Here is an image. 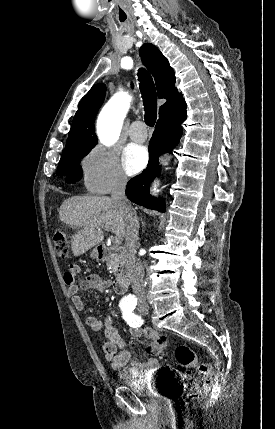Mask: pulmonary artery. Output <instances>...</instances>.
<instances>
[{
    "mask_svg": "<svg viewBox=\"0 0 275 429\" xmlns=\"http://www.w3.org/2000/svg\"><path fill=\"white\" fill-rule=\"evenodd\" d=\"M147 130L142 121H134L129 128V137L135 142H144L147 139Z\"/></svg>",
    "mask_w": 275,
    "mask_h": 429,
    "instance_id": "obj_1",
    "label": "pulmonary artery"
}]
</instances>
